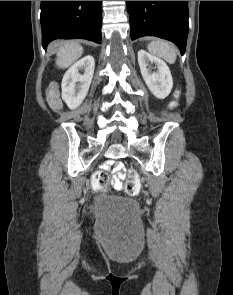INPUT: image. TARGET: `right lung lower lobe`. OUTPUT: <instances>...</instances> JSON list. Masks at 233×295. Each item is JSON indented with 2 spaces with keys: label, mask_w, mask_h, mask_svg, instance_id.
I'll list each match as a JSON object with an SVG mask.
<instances>
[{
  "label": "right lung lower lobe",
  "mask_w": 233,
  "mask_h": 295,
  "mask_svg": "<svg viewBox=\"0 0 233 295\" xmlns=\"http://www.w3.org/2000/svg\"><path fill=\"white\" fill-rule=\"evenodd\" d=\"M102 1H41L42 45L83 38L101 43Z\"/></svg>",
  "instance_id": "98d812e1"
}]
</instances>
